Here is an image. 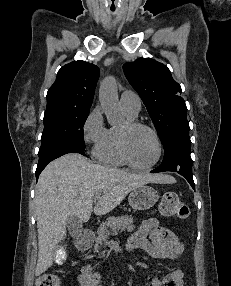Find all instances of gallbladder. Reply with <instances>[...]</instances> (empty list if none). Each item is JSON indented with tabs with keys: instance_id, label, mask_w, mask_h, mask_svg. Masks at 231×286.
Instances as JSON below:
<instances>
[{
	"instance_id": "gallbladder-1",
	"label": "gallbladder",
	"mask_w": 231,
	"mask_h": 286,
	"mask_svg": "<svg viewBox=\"0 0 231 286\" xmlns=\"http://www.w3.org/2000/svg\"><path fill=\"white\" fill-rule=\"evenodd\" d=\"M64 230H69L72 232L70 234H80L82 229V219L81 217L77 216L76 214H71L70 217L66 220V225H64ZM65 248H58L55 249V263L56 264H63L64 259L68 256L66 254Z\"/></svg>"
}]
</instances>
